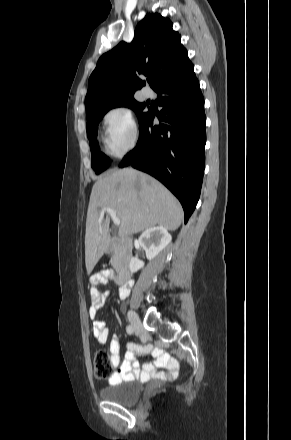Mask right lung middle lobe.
I'll list each match as a JSON object with an SVG mask.
<instances>
[{"label": "right lung middle lobe", "mask_w": 291, "mask_h": 440, "mask_svg": "<svg viewBox=\"0 0 291 440\" xmlns=\"http://www.w3.org/2000/svg\"><path fill=\"white\" fill-rule=\"evenodd\" d=\"M129 107L133 109L137 116L139 121L142 119V117L145 115V113H142V111L146 108L145 103H139L137 102L134 97L111 103L102 105L96 108H93L89 112H87V137L90 142V150H91V166L95 170L96 174L101 173L105 169L108 168V163L110 159L105 156L103 153L99 152V146L96 141V135H97V126L101 118L105 115V113L115 107Z\"/></svg>", "instance_id": "right-lung-middle-lobe-1"}]
</instances>
